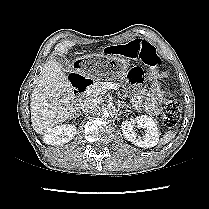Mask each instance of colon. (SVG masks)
Masks as SVG:
<instances>
[{
    "label": "colon",
    "mask_w": 209,
    "mask_h": 209,
    "mask_svg": "<svg viewBox=\"0 0 209 209\" xmlns=\"http://www.w3.org/2000/svg\"><path fill=\"white\" fill-rule=\"evenodd\" d=\"M107 54H120L123 57L131 59H139L144 64L157 68L160 63V57L153 44L146 40L136 39L123 46L119 44L107 45L105 47ZM154 77H162L163 73L154 72ZM181 118V107L178 101L169 99L164 105L163 121L166 126H175Z\"/></svg>",
    "instance_id": "colon-1"
}]
</instances>
